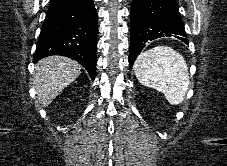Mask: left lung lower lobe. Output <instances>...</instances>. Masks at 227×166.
Instances as JSON below:
<instances>
[{"instance_id":"1","label":"left lung lower lobe","mask_w":227,"mask_h":166,"mask_svg":"<svg viewBox=\"0 0 227 166\" xmlns=\"http://www.w3.org/2000/svg\"><path fill=\"white\" fill-rule=\"evenodd\" d=\"M130 33V68L151 40L175 34V38L188 44L176 0H133Z\"/></svg>"}]
</instances>
